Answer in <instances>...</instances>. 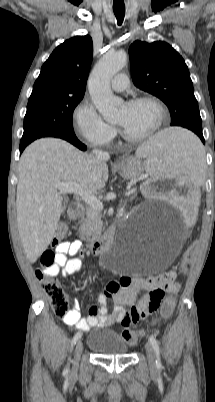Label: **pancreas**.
<instances>
[{"label": "pancreas", "instance_id": "pancreas-1", "mask_svg": "<svg viewBox=\"0 0 215 402\" xmlns=\"http://www.w3.org/2000/svg\"><path fill=\"white\" fill-rule=\"evenodd\" d=\"M79 235L82 240L94 241L102 232L101 213L92 208L86 210V216L79 221Z\"/></svg>", "mask_w": 215, "mask_h": 402}]
</instances>
